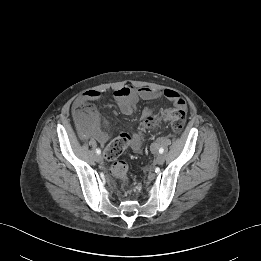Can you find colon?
I'll return each mask as SVG.
<instances>
[{"label":"colon","instance_id":"1","mask_svg":"<svg viewBox=\"0 0 261 261\" xmlns=\"http://www.w3.org/2000/svg\"><path fill=\"white\" fill-rule=\"evenodd\" d=\"M79 114L87 110L86 107L76 108ZM187 114L184 109L164 110L161 113H148L144 116L143 125L146 128H152L161 122H168L175 133H180L184 129ZM132 139L129 134H121L112 140L105 148L104 157L107 163L116 160L131 144ZM112 172L118 180L121 187H125L130 182L128 165L123 162H116L112 167Z\"/></svg>","mask_w":261,"mask_h":261}]
</instances>
